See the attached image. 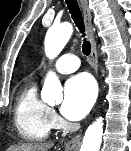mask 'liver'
Instances as JSON below:
<instances>
[{"instance_id": "liver-1", "label": "liver", "mask_w": 131, "mask_h": 151, "mask_svg": "<svg viewBox=\"0 0 131 151\" xmlns=\"http://www.w3.org/2000/svg\"><path fill=\"white\" fill-rule=\"evenodd\" d=\"M53 143H23L12 146L8 151H47Z\"/></svg>"}]
</instances>
